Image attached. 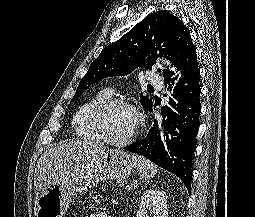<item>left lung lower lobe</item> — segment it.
<instances>
[{"label":"left lung lower lobe","instance_id":"0a47b994","mask_svg":"<svg viewBox=\"0 0 255 217\" xmlns=\"http://www.w3.org/2000/svg\"><path fill=\"white\" fill-rule=\"evenodd\" d=\"M181 77L170 70L163 74L171 97L161 110L162 121H154L148 135L125 150L143 155L156 165L178 176L191 191V165L199 130L200 70L194 45L188 47L175 65ZM167 95L164 94V97ZM152 111V108L150 109Z\"/></svg>","mask_w":255,"mask_h":217}]
</instances>
